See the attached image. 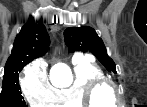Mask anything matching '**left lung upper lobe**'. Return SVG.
I'll use <instances>...</instances> for the list:
<instances>
[{
  "mask_svg": "<svg viewBox=\"0 0 147 107\" xmlns=\"http://www.w3.org/2000/svg\"><path fill=\"white\" fill-rule=\"evenodd\" d=\"M69 51L91 52L109 71L116 73L115 63L108 56L102 39L88 26L69 27L64 32Z\"/></svg>",
  "mask_w": 147,
  "mask_h": 107,
  "instance_id": "1",
  "label": "left lung upper lobe"
}]
</instances>
